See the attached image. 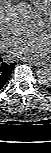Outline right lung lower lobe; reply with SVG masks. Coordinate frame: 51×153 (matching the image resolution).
<instances>
[{"mask_svg": "<svg viewBox=\"0 0 51 153\" xmlns=\"http://www.w3.org/2000/svg\"><path fill=\"white\" fill-rule=\"evenodd\" d=\"M16 63H5L0 57V89L9 80L12 70Z\"/></svg>", "mask_w": 51, "mask_h": 153, "instance_id": "98d812e1", "label": "right lung lower lobe"}]
</instances>
